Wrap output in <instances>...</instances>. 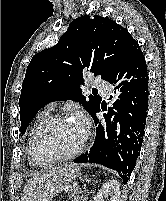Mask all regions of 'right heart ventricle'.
Instances as JSON below:
<instances>
[{
	"label": "right heart ventricle",
	"mask_w": 166,
	"mask_h": 201,
	"mask_svg": "<svg viewBox=\"0 0 166 201\" xmlns=\"http://www.w3.org/2000/svg\"><path fill=\"white\" fill-rule=\"evenodd\" d=\"M51 116V112L50 110H43L41 111L35 118L34 120V123L31 127V130H30V134H29V140H28V147H27V150H28V155H29V162L31 164V166H37L34 161H33V158H32V154H31V149H32V140H33V136H34V133L37 129V127L44 121L46 120L47 118H49Z\"/></svg>",
	"instance_id": "1"
}]
</instances>
